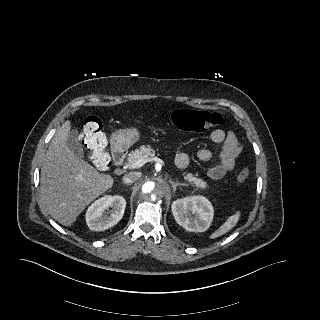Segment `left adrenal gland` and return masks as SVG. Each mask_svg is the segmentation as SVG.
Listing matches in <instances>:
<instances>
[{
  "mask_svg": "<svg viewBox=\"0 0 320 320\" xmlns=\"http://www.w3.org/2000/svg\"><path fill=\"white\" fill-rule=\"evenodd\" d=\"M170 183H171L174 191H176V188H177L178 186L188 187V184L180 183V182H178V181L174 182V181L170 180Z\"/></svg>",
  "mask_w": 320,
  "mask_h": 320,
  "instance_id": "1",
  "label": "left adrenal gland"
}]
</instances>
